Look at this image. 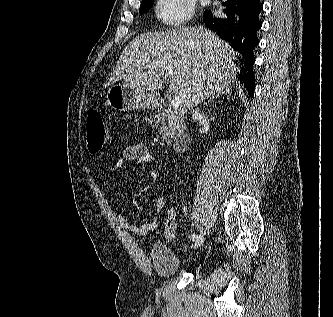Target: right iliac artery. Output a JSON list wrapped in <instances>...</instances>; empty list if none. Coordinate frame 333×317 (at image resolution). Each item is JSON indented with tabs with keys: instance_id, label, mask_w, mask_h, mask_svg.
<instances>
[{
	"instance_id": "1",
	"label": "right iliac artery",
	"mask_w": 333,
	"mask_h": 317,
	"mask_svg": "<svg viewBox=\"0 0 333 317\" xmlns=\"http://www.w3.org/2000/svg\"><path fill=\"white\" fill-rule=\"evenodd\" d=\"M198 238H199V236H198V235H195V234H193V235L190 236V239H191L192 241H195V240H197Z\"/></svg>"
}]
</instances>
